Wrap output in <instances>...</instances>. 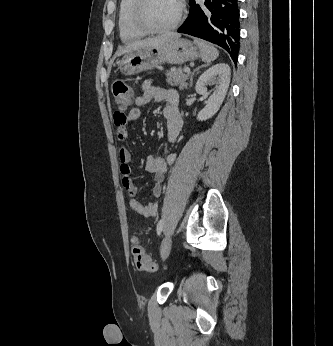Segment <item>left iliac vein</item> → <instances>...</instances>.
Listing matches in <instances>:
<instances>
[{"mask_svg":"<svg viewBox=\"0 0 333 346\" xmlns=\"http://www.w3.org/2000/svg\"><path fill=\"white\" fill-rule=\"evenodd\" d=\"M171 245H172V238L170 235H167L160 246V255L162 260H164L170 253L171 250Z\"/></svg>","mask_w":333,"mask_h":346,"instance_id":"left-iliac-vein-1","label":"left iliac vein"}]
</instances>
